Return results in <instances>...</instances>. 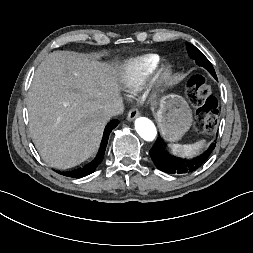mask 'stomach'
Listing matches in <instances>:
<instances>
[{
	"label": "stomach",
	"instance_id": "obj_1",
	"mask_svg": "<svg viewBox=\"0 0 253 253\" xmlns=\"http://www.w3.org/2000/svg\"><path fill=\"white\" fill-rule=\"evenodd\" d=\"M157 120L165 139L179 140L191 126L192 113L187 102L179 95H166L160 101Z\"/></svg>",
	"mask_w": 253,
	"mask_h": 253
}]
</instances>
